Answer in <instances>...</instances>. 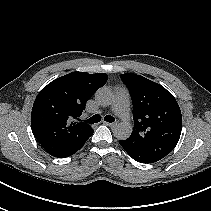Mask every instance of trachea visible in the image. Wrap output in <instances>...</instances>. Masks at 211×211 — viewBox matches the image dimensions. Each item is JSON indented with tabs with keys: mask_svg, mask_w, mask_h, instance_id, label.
I'll return each mask as SVG.
<instances>
[{
	"mask_svg": "<svg viewBox=\"0 0 211 211\" xmlns=\"http://www.w3.org/2000/svg\"><path fill=\"white\" fill-rule=\"evenodd\" d=\"M105 121L109 122V123H112L115 121L114 117L110 116V115H107L105 116L104 118ZM101 121V117L100 115H93L91 118H89L88 120H86L87 123H90V124H93V123H98Z\"/></svg>",
	"mask_w": 211,
	"mask_h": 211,
	"instance_id": "3493384b",
	"label": "trachea"
}]
</instances>
